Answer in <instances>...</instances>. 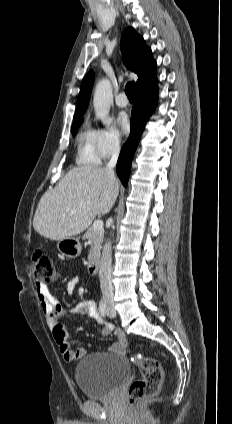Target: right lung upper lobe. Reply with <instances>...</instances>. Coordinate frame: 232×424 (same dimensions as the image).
<instances>
[{
    "instance_id": "1",
    "label": "right lung upper lobe",
    "mask_w": 232,
    "mask_h": 424,
    "mask_svg": "<svg viewBox=\"0 0 232 424\" xmlns=\"http://www.w3.org/2000/svg\"><path fill=\"white\" fill-rule=\"evenodd\" d=\"M121 49L126 67L138 75L136 90L146 87L156 79V62L151 49L132 27L123 31ZM93 82L94 73L90 71L82 81L73 119H82L88 107Z\"/></svg>"
}]
</instances>
